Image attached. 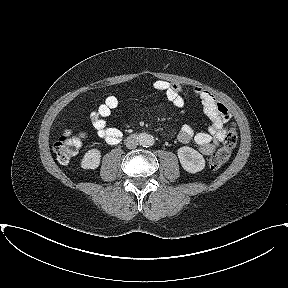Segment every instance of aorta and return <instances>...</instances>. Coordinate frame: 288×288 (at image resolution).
<instances>
[{
	"label": "aorta",
	"mask_w": 288,
	"mask_h": 288,
	"mask_svg": "<svg viewBox=\"0 0 288 288\" xmlns=\"http://www.w3.org/2000/svg\"><path fill=\"white\" fill-rule=\"evenodd\" d=\"M139 141H140V145L144 146V147H150L154 144L155 140L154 137L150 134H142L139 137Z\"/></svg>",
	"instance_id": "762f6f07"
}]
</instances>
